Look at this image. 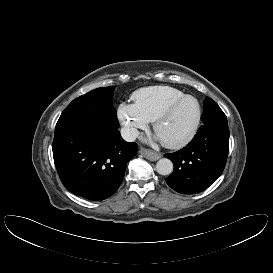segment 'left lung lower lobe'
I'll return each mask as SVG.
<instances>
[{"instance_id": "0a47b994", "label": "left lung lower lobe", "mask_w": 273, "mask_h": 273, "mask_svg": "<svg viewBox=\"0 0 273 273\" xmlns=\"http://www.w3.org/2000/svg\"><path fill=\"white\" fill-rule=\"evenodd\" d=\"M228 124L201 126L183 149L165 154L174 164L167 184L182 194L201 192L222 174L229 151Z\"/></svg>"}]
</instances>
